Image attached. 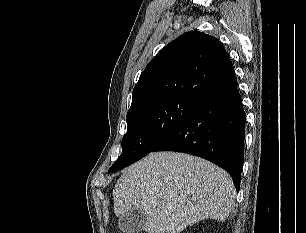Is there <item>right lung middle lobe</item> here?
I'll use <instances>...</instances> for the list:
<instances>
[{"instance_id": "1", "label": "right lung middle lobe", "mask_w": 306, "mask_h": 233, "mask_svg": "<svg viewBox=\"0 0 306 233\" xmlns=\"http://www.w3.org/2000/svg\"><path fill=\"white\" fill-rule=\"evenodd\" d=\"M200 106L190 99L173 97L128 112L122 153L108 173L123 169L153 151Z\"/></svg>"}]
</instances>
